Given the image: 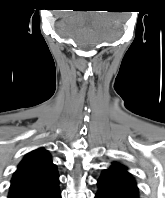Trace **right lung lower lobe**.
<instances>
[{"label":"right lung lower lobe","instance_id":"right-lung-lower-lobe-1","mask_svg":"<svg viewBox=\"0 0 165 198\" xmlns=\"http://www.w3.org/2000/svg\"><path fill=\"white\" fill-rule=\"evenodd\" d=\"M43 198H61L59 187L50 194L44 196Z\"/></svg>","mask_w":165,"mask_h":198}]
</instances>
